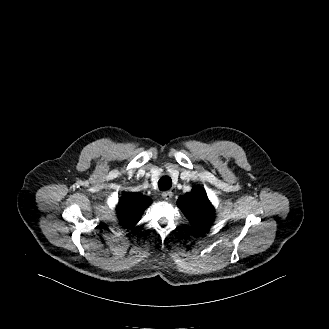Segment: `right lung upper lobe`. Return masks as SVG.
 <instances>
[{"label":"right lung upper lobe","mask_w":329,"mask_h":329,"mask_svg":"<svg viewBox=\"0 0 329 329\" xmlns=\"http://www.w3.org/2000/svg\"><path fill=\"white\" fill-rule=\"evenodd\" d=\"M150 204V198L140 193H124L116 208L121 224L125 228L136 225Z\"/></svg>","instance_id":"1"}]
</instances>
